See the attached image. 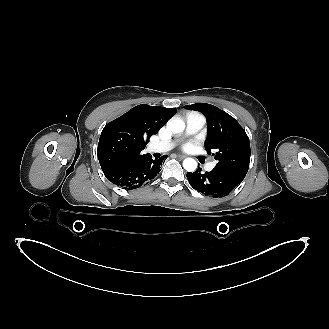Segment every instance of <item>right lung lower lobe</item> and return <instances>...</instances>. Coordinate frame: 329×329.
I'll return each instance as SVG.
<instances>
[{"instance_id": "right-lung-lower-lobe-1", "label": "right lung lower lobe", "mask_w": 329, "mask_h": 329, "mask_svg": "<svg viewBox=\"0 0 329 329\" xmlns=\"http://www.w3.org/2000/svg\"><path fill=\"white\" fill-rule=\"evenodd\" d=\"M166 157L164 155L160 159H152V156L146 155L123 167L104 171V175L121 188L136 189L155 178Z\"/></svg>"}]
</instances>
